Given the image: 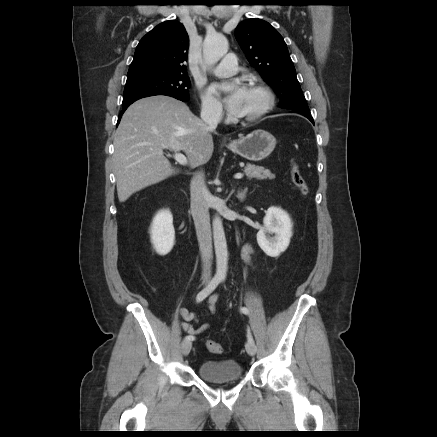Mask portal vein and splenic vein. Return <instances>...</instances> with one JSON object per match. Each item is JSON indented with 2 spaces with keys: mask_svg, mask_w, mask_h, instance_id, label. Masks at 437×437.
Instances as JSON below:
<instances>
[{
  "mask_svg": "<svg viewBox=\"0 0 437 437\" xmlns=\"http://www.w3.org/2000/svg\"><path fill=\"white\" fill-rule=\"evenodd\" d=\"M173 157H174V159L179 163V164H181V165H186L187 164V158L183 155V154H181V153H179V152H176L174 155H173ZM243 177V174L242 173H237V174H235V176H234V178H236V179H241Z\"/></svg>",
  "mask_w": 437,
  "mask_h": 437,
  "instance_id": "obj_1",
  "label": "portal vein and splenic vein"
}]
</instances>
